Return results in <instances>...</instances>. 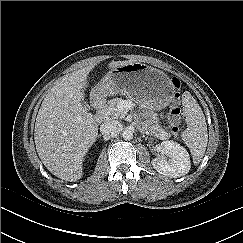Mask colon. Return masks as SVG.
I'll use <instances>...</instances> for the list:
<instances>
[{
	"mask_svg": "<svg viewBox=\"0 0 243 243\" xmlns=\"http://www.w3.org/2000/svg\"><path fill=\"white\" fill-rule=\"evenodd\" d=\"M173 86L178 89L181 86V82L178 78L172 79ZM180 94L177 93L174 96V104L170 107L168 113V121L170 130L173 134H177L179 132L180 122H181V108L178 104Z\"/></svg>",
	"mask_w": 243,
	"mask_h": 243,
	"instance_id": "5ec220e1",
	"label": "colon"
}]
</instances>
